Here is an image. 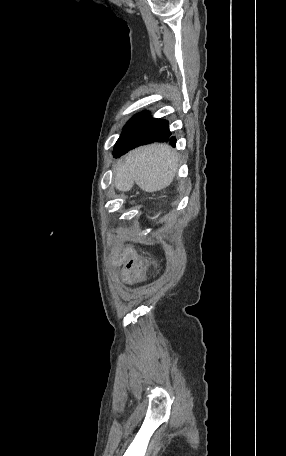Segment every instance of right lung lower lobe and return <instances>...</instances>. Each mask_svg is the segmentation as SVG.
I'll return each mask as SVG.
<instances>
[{"instance_id":"obj_1","label":"right lung lower lobe","mask_w":286,"mask_h":456,"mask_svg":"<svg viewBox=\"0 0 286 456\" xmlns=\"http://www.w3.org/2000/svg\"><path fill=\"white\" fill-rule=\"evenodd\" d=\"M176 144L171 136L168 121L155 119L147 111L136 114L125 126L122 140L113 151L114 157H120L130 149L150 142H167Z\"/></svg>"}]
</instances>
